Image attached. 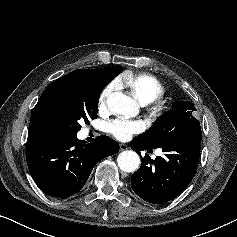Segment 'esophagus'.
<instances>
[{
	"label": "esophagus",
	"instance_id": "esophagus-1",
	"mask_svg": "<svg viewBox=\"0 0 237 237\" xmlns=\"http://www.w3.org/2000/svg\"><path fill=\"white\" fill-rule=\"evenodd\" d=\"M119 147H120V150L121 151H124V150H127L128 149V146L126 144H123V143H120L119 144Z\"/></svg>",
	"mask_w": 237,
	"mask_h": 237
}]
</instances>
